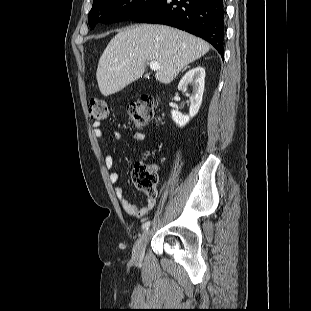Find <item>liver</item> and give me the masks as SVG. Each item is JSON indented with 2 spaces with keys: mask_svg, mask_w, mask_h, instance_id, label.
<instances>
[{
  "mask_svg": "<svg viewBox=\"0 0 311 311\" xmlns=\"http://www.w3.org/2000/svg\"><path fill=\"white\" fill-rule=\"evenodd\" d=\"M209 49L206 41L164 25L124 28L111 39L99 59L96 78L100 92L108 96L139 79L146 61L157 62L161 68L155 73L156 80L169 84Z\"/></svg>",
  "mask_w": 311,
  "mask_h": 311,
  "instance_id": "liver-1",
  "label": "liver"
}]
</instances>
